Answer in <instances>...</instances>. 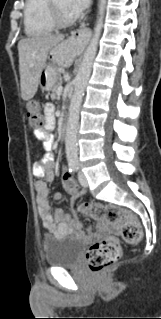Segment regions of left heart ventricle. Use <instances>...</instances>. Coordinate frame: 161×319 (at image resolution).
Returning a JSON list of instances; mask_svg holds the SVG:
<instances>
[{
  "label": "left heart ventricle",
  "mask_w": 161,
  "mask_h": 319,
  "mask_svg": "<svg viewBox=\"0 0 161 319\" xmlns=\"http://www.w3.org/2000/svg\"><path fill=\"white\" fill-rule=\"evenodd\" d=\"M55 3L64 16L73 17V15L67 9V6H66L67 1L66 0H56Z\"/></svg>",
  "instance_id": "left-heart-ventricle-1"
}]
</instances>
